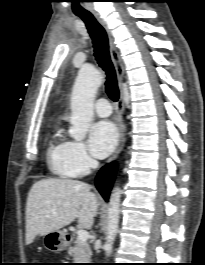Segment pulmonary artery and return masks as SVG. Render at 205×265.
Listing matches in <instances>:
<instances>
[{"label": "pulmonary artery", "instance_id": "obj_1", "mask_svg": "<svg viewBox=\"0 0 205 265\" xmlns=\"http://www.w3.org/2000/svg\"><path fill=\"white\" fill-rule=\"evenodd\" d=\"M94 109L100 117H108L111 114L110 103L104 98L96 101Z\"/></svg>", "mask_w": 205, "mask_h": 265}]
</instances>
